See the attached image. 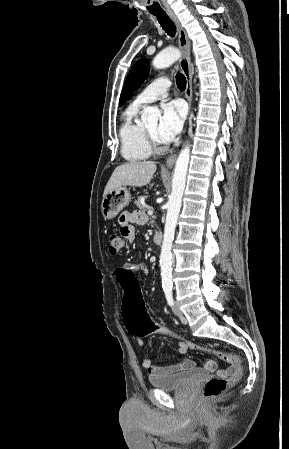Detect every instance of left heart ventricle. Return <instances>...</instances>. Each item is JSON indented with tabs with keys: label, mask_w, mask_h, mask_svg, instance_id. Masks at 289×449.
Returning a JSON list of instances; mask_svg holds the SVG:
<instances>
[{
	"label": "left heart ventricle",
	"mask_w": 289,
	"mask_h": 449,
	"mask_svg": "<svg viewBox=\"0 0 289 449\" xmlns=\"http://www.w3.org/2000/svg\"><path fill=\"white\" fill-rule=\"evenodd\" d=\"M146 128L149 130V132L158 140L161 142V140L158 137V122L155 121L151 124H148Z\"/></svg>",
	"instance_id": "b2bd125f"
}]
</instances>
